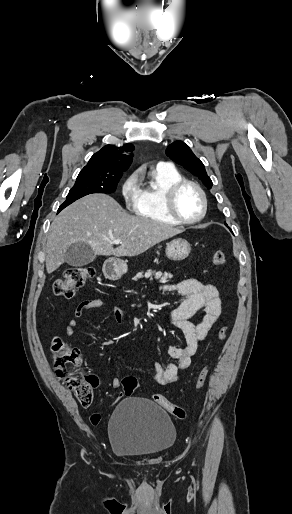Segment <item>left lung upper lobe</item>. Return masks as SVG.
<instances>
[{"instance_id": "1", "label": "left lung upper lobe", "mask_w": 292, "mask_h": 514, "mask_svg": "<svg viewBox=\"0 0 292 514\" xmlns=\"http://www.w3.org/2000/svg\"><path fill=\"white\" fill-rule=\"evenodd\" d=\"M166 155L202 180L203 184L208 189L212 188L213 183L207 175L203 163L194 155L191 149L184 142L175 141L170 144L166 149ZM225 225L228 227L226 223ZM230 231L232 232L231 229Z\"/></svg>"}]
</instances>
